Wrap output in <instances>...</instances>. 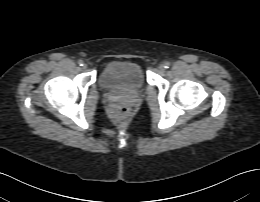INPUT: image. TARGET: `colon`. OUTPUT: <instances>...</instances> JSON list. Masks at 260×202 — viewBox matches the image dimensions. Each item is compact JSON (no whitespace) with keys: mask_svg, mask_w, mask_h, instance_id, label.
I'll return each mask as SVG.
<instances>
[{"mask_svg":"<svg viewBox=\"0 0 260 202\" xmlns=\"http://www.w3.org/2000/svg\"><path fill=\"white\" fill-rule=\"evenodd\" d=\"M114 116L119 120H124L129 114V107L124 104H114L113 106Z\"/></svg>","mask_w":260,"mask_h":202,"instance_id":"1","label":"colon"}]
</instances>
